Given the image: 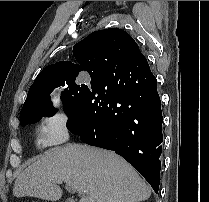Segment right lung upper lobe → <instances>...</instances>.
<instances>
[{"label":"right lung upper lobe","mask_w":209,"mask_h":202,"mask_svg":"<svg viewBox=\"0 0 209 202\" xmlns=\"http://www.w3.org/2000/svg\"><path fill=\"white\" fill-rule=\"evenodd\" d=\"M76 63L61 61L43 69L29 89L22 111L31 105L40 104L35 95L51 78L78 75L88 72L91 78L99 79L105 75L120 74L125 76L129 64L136 58H143L135 40L124 30L117 28L103 29L91 33L73 47ZM137 69V66L135 67ZM26 122L20 119V124Z\"/></svg>","instance_id":"cb5924a9"}]
</instances>
